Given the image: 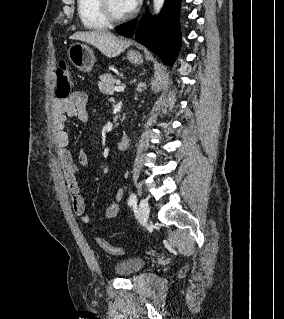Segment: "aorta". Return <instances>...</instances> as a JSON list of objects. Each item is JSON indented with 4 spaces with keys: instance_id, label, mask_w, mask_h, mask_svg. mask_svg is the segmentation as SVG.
I'll list each match as a JSON object with an SVG mask.
<instances>
[{
    "instance_id": "1",
    "label": "aorta",
    "mask_w": 284,
    "mask_h": 319,
    "mask_svg": "<svg viewBox=\"0 0 284 319\" xmlns=\"http://www.w3.org/2000/svg\"><path fill=\"white\" fill-rule=\"evenodd\" d=\"M165 0H153V8H154V14H158L163 5H164Z\"/></svg>"
}]
</instances>
